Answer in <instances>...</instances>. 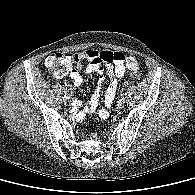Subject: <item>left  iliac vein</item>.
Returning a JSON list of instances; mask_svg holds the SVG:
<instances>
[{
    "label": "left iliac vein",
    "instance_id": "1",
    "mask_svg": "<svg viewBox=\"0 0 195 195\" xmlns=\"http://www.w3.org/2000/svg\"><path fill=\"white\" fill-rule=\"evenodd\" d=\"M125 104H126V101H125L124 98H122V99H120V100L118 101L117 107H118V108H123V107L125 106Z\"/></svg>",
    "mask_w": 195,
    "mask_h": 195
}]
</instances>
